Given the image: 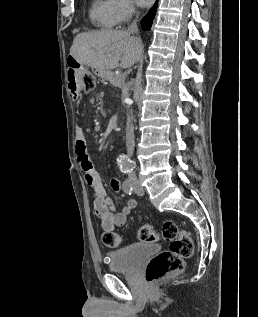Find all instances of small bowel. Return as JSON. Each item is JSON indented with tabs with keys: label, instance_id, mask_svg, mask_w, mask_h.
Returning <instances> with one entry per match:
<instances>
[{
	"label": "small bowel",
	"instance_id": "obj_1",
	"mask_svg": "<svg viewBox=\"0 0 258 317\" xmlns=\"http://www.w3.org/2000/svg\"><path fill=\"white\" fill-rule=\"evenodd\" d=\"M75 152L79 165L84 172L85 180L92 191L94 211L100 220L102 229L108 232L117 227H122L125 225L127 217L136 207L137 202L134 199H129L119 212L115 211L114 203L89 157L85 132L80 125L75 127ZM110 187L113 191L119 192L123 186L118 178H113L110 181Z\"/></svg>",
	"mask_w": 258,
	"mask_h": 317
}]
</instances>
